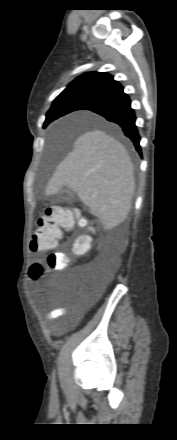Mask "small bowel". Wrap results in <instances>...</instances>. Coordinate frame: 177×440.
<instances>
[{
  "label": "small bowel",
  "mask_w": 177,
  "mask_h": 440,
  "mask_svg": "<svg viewBox=\"0 0 177 440\" xmlns=\"http://www.w3.org/2000/svg\"><path fill=\"white\" fill-rule=\"evenodd\" d=\"M69 315V309L67 307H57L52 309L47 315L46 319L49 321H53L59 319L63 316ZM73 323L77 318L75 316L71 317Z\"/></svg>",
  "instance_id": "1"
}]
</instances>
